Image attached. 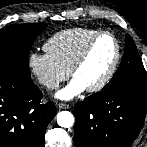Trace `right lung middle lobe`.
<instances>
[{
  "label": "right lung middle lobe",
  "mask_w": 147,
  "mask_h": 147,
  "mask_svg": "<svg viewBox=\"0 0 147 147\" xmlns=\"http://www.w3.org/2000/svg\"><path fill=\"white\" fill-rule=\"evenodd\" d=\"M46 23L12 24L0 30V72L31 79L28 65L30 48Z\"/></svg>",
  "instance_id": "obj_1"
}]
</instances>
